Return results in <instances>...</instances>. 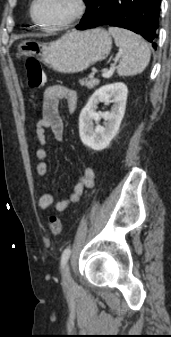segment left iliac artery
<instances>
[{
  "instance_id": "obj_1",
  "label": "left iliac artery",
  "mask_w": 171,
  "mask_h": 337,
  "mask_svg": "<svg viewBox=\"0 0 171 337\" xmlns=\"http://www.w3.org/2000/svg\"><path fill=\"white\" fill-rule=\"evenodd\" d=\"M70 254H71V249L68 247L66 248L63 253H62V256H61V267L63 268L65 266V264L67 263L69 257H70Z\"/></svg>"
}]
</instances>
